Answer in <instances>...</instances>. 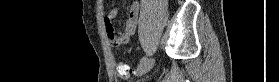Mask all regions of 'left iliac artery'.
Here are the masks:
<instances>
[{"instance_id": "1", "label": "left iliac artery", "mask_w": 279, "mask_h": 82, "mask_svg": "<svg viewBox=\"0 0 279 82\" xmlns=\"http://www.w3.org/2000/svg\"><path fill=\"white\" fill-rule=\"evenodd\" d=\"M146 60H147V57H142L140 62L142 63V62H145Z\"/></svg>"}]
</instances>
